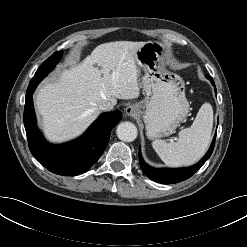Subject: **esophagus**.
<instances>
[{
  "mask_svg": "<svg viewBox=\"0 0 247 247\" xmlns=\"http://www.w3.org/2000/svg\"><path fill=\"white\" fill-rule=\"evenodd\" d=\"M125 113L128 116H136L139 112H138V108L134 105H129L126 109H125Z\"/></svg>",
  "mask_w": 247,
  "mask_h": 247,
  "instance_id": "34e87169",
  "label": "esophagus"
}]
</instances>
